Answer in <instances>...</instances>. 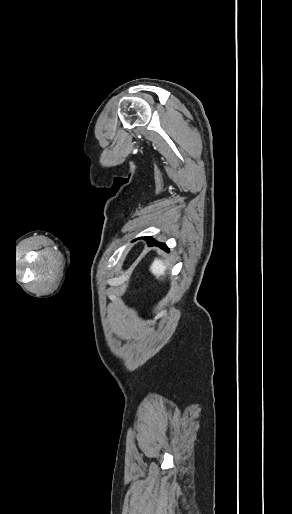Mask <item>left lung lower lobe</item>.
<instances>
[{
    "instance_id": "left-lung-lower-lobe-1",
    "label": "left lung lower lobe",
    "mask_w": 292,
    "mask_h": 514,
    "mask_svg": "<svg viewBox=\"0 0 292 514\" xmlns=\"http://www.w3.org/2000/svg\"><path fill=\"white\" fill-rule=\"evenodd\" d=\"M143 239L147 240L148 244L150 246H159V247L163 248L164 250L168 251L166 244L159 243V242L155 241L152 237H143Z\"/></svg>"
}]
</instances>
